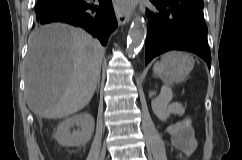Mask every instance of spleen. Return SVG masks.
<instances>
[{"label": "spleen", "instance_id": "spleen-1", "mask_svg": "<svg viewBox=\"0 0 242 160\" xmlns=\"http://www.w3.org/2000/svg\"><path fill=\"white\" fill-rule=\"evenodd\" d=\"M171 56H172V54L167 53L166 55H164L162 57L161 62H156L153 67L154 73L159 74L162 70H164L165 63L163 61V58L167 59V58H170ZM169 82H172V81H169ZM172 97H173V94H172L171 88L169 86H164V87H162L161 93H160L159 97L157 98V100L161 103L168 104L171 101ZM168 109L170 112H179L178 107L175 104L170 105L168 107Z\"/></svg>", "mask_w": 242, "mask_h": 160}]
</instances>
